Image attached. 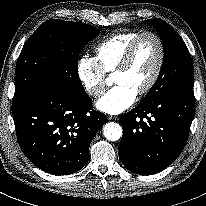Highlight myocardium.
Segmentation results:
<instances>
[{"label":"myocardium","mask_w":206,"mask_h":206,"mask_svg":"<svg viewBox=\"0 0 206 206\" xmlns=\"http://www.w3.org/2000/svg\"><path fill=\"white\" fill-rule=\"evenodd\" d=\"M146 36H150V37L154 38L155 41L157 42L158 49H159V56H158V62H157L156 68L153 72V75L151 76L148 83L137 92L138 96H143V95L149 93L153 89V87L156 85V83L161 75V72H162V69L164 66V61H165V48H164V44H163L161 37L157 33L152 32V31L141 32L130 43V45L127 48L121 62L114 70V74H116V73L125 72L129 68L140 41Z\"/></svg>","instance_id":"f54148a6"}]
</instances>
